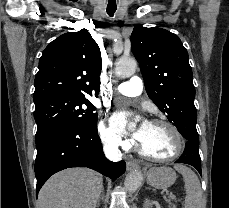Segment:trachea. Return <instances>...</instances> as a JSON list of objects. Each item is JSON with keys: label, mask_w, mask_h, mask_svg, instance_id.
Returning <instances> with one entry per match:
<instances>
[{"label": "trachea", "mask_w": 229, "mask_h": 208, "mask_svg": "<svg viewBox=\"0 0 229 208\" xmlns=\"http://www.w3.org/2000/svg\"><path fill=\"white\" fill-rule=\"evenodd\" d=\"M116 10H117V7H107V13L111 17L114 15V13L116 12Z\"/></svg>", "instance_id": "1"}]
</instances>
